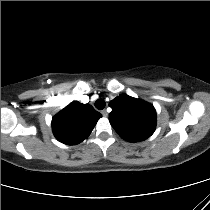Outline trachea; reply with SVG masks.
I'll return each instance as SVG.
<instances>
[{
  "instance_id": "3493384b",
  "label": "trachea",
  "mask_w": 210,
  "mask_h": 210,
  "mask_svg": "<svg viewBox=\"0 0 210 210\" xmlns=\"http://www.w3.org/2000/svg\"><path fill=\"white\" fill-rule=\"evenodd\" d=\"M105 101L103 99H98L96 102H95V107L98 109V110H102L105 108Z\"/></svg>"
}]
</instances>
